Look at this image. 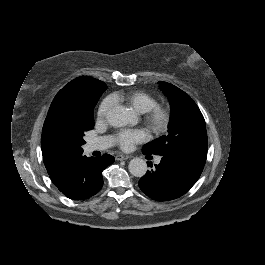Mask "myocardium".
I'll return each mask as SVG.
<instances>
[{
    "label": "myocardium",
    "instance_id": "f54148a6",
    "mask_svg": "<svg viewBox=\"0 0 265 265\" xmlns=\"http://www.w3.org/2000/svg\"><path fill=\"white\" fill-rule=\"evenodd\" d=\"M144 122L153 133H162L167 128L169 112L166 108L155 105L151 110L145 113Z\"/></svg>",
    "mask_w": 265,
    "mask_h": 265
}]
</instances>
